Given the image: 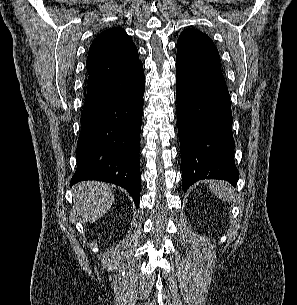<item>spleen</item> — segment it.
Wrapping results in <instances>:
<instances>
[{
	"label": "spleen",
	"mask_w": 297,
	"mask_h": 305,
	"mask_svg": "<svg viewBox=\"0 0 297 305\" xmlns=\"http://www.w3.org/2000/svg\"><path fill=\"white\" fill-rule=\"evenodd\" d=\"M210 189L223 201L231 200L232 189L227 183L222 181L212 182Z\"/></svg>",
	"instance_id": "1"
}]
</instances>
